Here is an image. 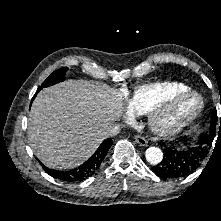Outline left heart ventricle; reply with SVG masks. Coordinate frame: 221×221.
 <instances>
[{
    "label": "left heart ventricle",
    "mask_w": 221,
    "mask_h": 221,
    "mask_svg": "<svg viewBox=\"0 0 221 221\" xmlns=\"http://www.w3.org/2000/svg\"><path fill=\"white\" fill-rule=\"evenodd\" d=\"M196 104V101L195 100H191L187 103H185L184 105H182L181 107H179L177 110H175L171 116H170V119L171 120H177L179 119L180 117L183 116V114L189 110L191 107H193L194 105Z\"/></svg>",
    "instance_id": "left-heart-ventricle-1"
}]
</instances>
